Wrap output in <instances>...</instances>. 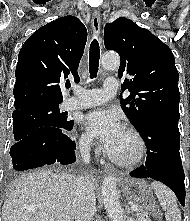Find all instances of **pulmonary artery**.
I'll use <instances>...</instances> for the list:
<instances>
[{"label":"pulmonary artery","mask_w":190,"mask_h":221,"mask_svg":"<svg viewBox=\"0 0 190 221\" xmlns=\"http://www.w3.org/2000/svg\"><path fill=\"white\" fill-rule=\"evenodd\" d=\"M75 96L64 102L67 110L85 109L97 106L111 99L118 90V81L115 78H107L103 88L86 90L79 86L73 88Z\"/></svg>","instance_id":"e3ab8cb5"}]
</instances>
